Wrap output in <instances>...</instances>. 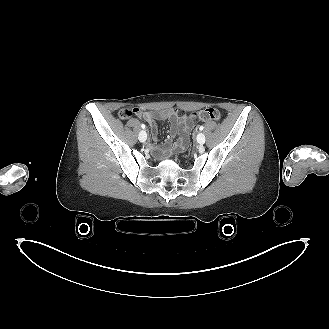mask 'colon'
Here are the masks:
<instances>
[{"label":"colon","mask_w":329,"mask_h":329,"mask_svg":"<svg viewBox=\"0 0 329 329\" xmlns=\"http://www.w3.org/2000/svg\"><path fill=\"white\" fill-rule=\"evenodd\" d=\"M131 115L129 110H123L119 113L120 118L127 119ZM192 116L200 121L220 120L221 114L215 108H205L203 110L193 112Z\"/></svg>","instance_id":"colon-1"}]
</instances>
